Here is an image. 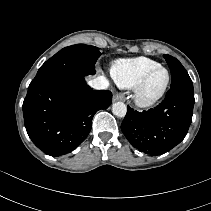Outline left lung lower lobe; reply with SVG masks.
I'll return each mask as SVG.
<instances>
[{
	"label": "left lung lower lobe",
	"mask_w": 211,
	"mask_h": 211,
	"mask_svg": "<svg viewBox=\"0 0 211 211\" xmlns=\"http://www.w3.org/2000/svg\"><path fill=\"white\" fill-rule=\"evenodd\" d=\"M194 102L193 89H170L162 103L153 109L138 112L128 106L121 130L139 151L152 156L163 154L186 136Z\"/></svg>",
	"instance_id": "left-lung-lower-lobe-1"
}]
</instances>
